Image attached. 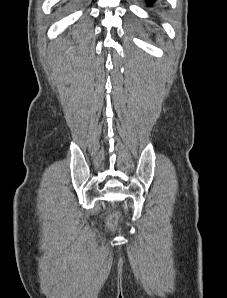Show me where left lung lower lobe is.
Returning <instances> with one entry per match:
<instances>
[{"mask_svg": "<svg viewBox=\"0 0 227 298\" xmlns=\"http://www.w3.org/2000/svg\"><path fill=\"white\" fill-rule=\"evenodd\" d=\"M150 2H154L155 0H149Z\"/></svg>", "mask_w": 227, "mask_h": 298, "instance_id": "0a47b994", "label": "left lung lower lobe"}]
</instances>
